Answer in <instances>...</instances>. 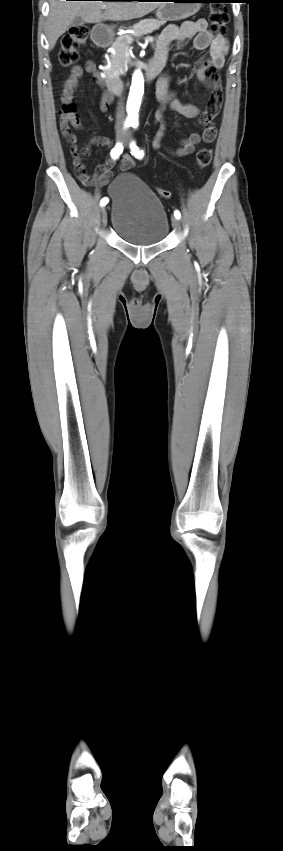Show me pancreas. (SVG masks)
Returning <instances> with one entry per match:
<instances>
[{
	"instance_id": "1",
	"label": "pancreas",
	"mask_w": 283,
	"mask_h": 851,
	"mask_svg": "<svg viewBox=\"0 0 283 851\" xmlns=\"http://www.w3.org/2000/svg\"><path fill=\"white\" fill-rule=\"evenodd\" d=\"M165 22L155 20V19H147L141 21L133 26V30L136 36H142L144 34L152 33L153 31L159 29L161 25H164ZM131 34H125L119 36L115 42L112 44L111 48L114 52H111L110 56L107 59V63H110V67L104 70L105 74L113 75L117 74L121 75L124 71V66L127 61L126 53L128 52L129 46L132 41L128 39L131 38Z\"/></svg>"
}]
</instances>
